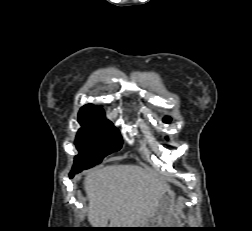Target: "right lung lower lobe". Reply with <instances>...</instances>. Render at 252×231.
Segmentation results:
<instances>
[{"label": "right lung lower lobe", "instance_id": "obj_1", "mask_svg": "<svg viewBox=\"0 0 252 231\" xmlns=\"http://www.w3.org/2000/svg\"><path fill=\"white\" fill-rule=\"evenodd\" d=\"M79 172H80V171H78V170H72V171L70 172V177H73L74 174L79 173Z\"/></svg>", "mask_w": 252, "mask_h": 231}]
</instances>
